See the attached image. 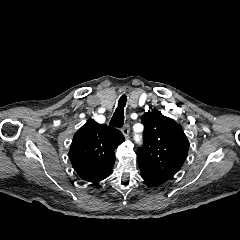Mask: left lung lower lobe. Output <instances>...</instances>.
I'll return each instance as SVG.
<instances>
[{
	"label": "left lung lower lobe",
	"instance_id": "left-lung-lower-lobe-1",
	"mask_svg": "<svg viewBox=\"0 0 240 240\" xmlns=\"http://www.w3.org/2000/svg\"><path fill=\"white\" fill-rule=\"evenodd\" d=\"M140 171H141L142 178L145 181L149 182L150 184L158 186V185H162L168 181V180L152 173L151 171H149L148 169H146L144 167H140Z\"/></svg>",
	"mask_w": 240,
	"mask_h": 240
}]
</instances>
